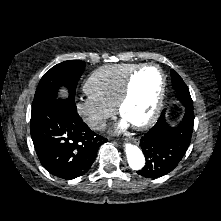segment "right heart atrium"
<instances>
[{"mask_svg":"<svg viewBox=\"0 0 221 221\" xmlns=\"http://www.w3.org/2000/svg\"><path fill=\"white\" fill-rule=\"evenodd\" d=\"M76 110L83 121L93 130L104 129L107 120L113 115L114 109L87 96L76 102Z\"/></svg>","mask_w":221,"mask_h":221,"instance_id":"right-heart-atrium-1","label":"right heart atrium"}]
</instances>
